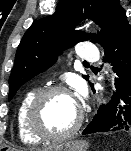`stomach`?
<instances>
[{"label": "stomach", "instance_id": "1", "mask_svg": "<svg viewBox=\"0 0 131 151\" xmlns=\"http://www.w3.org/2000/svg\"><path fill=\"white\" fill-rule=\"evenodd\" d=\"M89 144L85 140H70L55 145L45 151H87Z\"/></svg>", "mask_w": 131, "mask_h": 151}]
</instances>
